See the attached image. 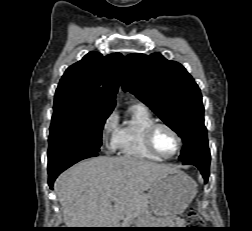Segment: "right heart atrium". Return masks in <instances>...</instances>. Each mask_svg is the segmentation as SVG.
Masks as SVG:
<instances>
[{"mask_svg":"<svg viewBox=\"0 0 252 231\" xmlns=\"http://www.w3.org/2000/svg\"><path fill=\"white\" fill-rule=\"evenodd\" d=\"M119 129L118 115L116 112H110L103 120L101 126V136L110 141V146L114 148V140Z\"/></svg>","mask_w":252,"mask_h":231,"instance_id":"right-heart-atrium-1","label":"right heart atrium"}]
</instances>
